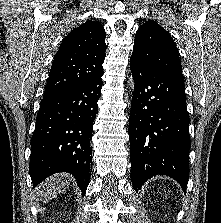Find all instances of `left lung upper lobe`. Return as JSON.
I'll list each match as a JSON object with an SVG mask.
<instances>
[{
  "instance_id": "1",
  "label": "left lung upper lobe",
  "mask_w": 221,
  "mask_h": 223,
  "mask_svg": "<svg viewBox=\"0 0 221 223\" xmlns=\"http://www.w3.org/2000/svg\"><path fill=\"white\" fill-rule=\"evenodd\" d=\"M131 58L157 72L183 78L178 50L172 37L153 20L137 30Z\"/></svg>"
}]
</instances>
